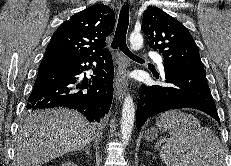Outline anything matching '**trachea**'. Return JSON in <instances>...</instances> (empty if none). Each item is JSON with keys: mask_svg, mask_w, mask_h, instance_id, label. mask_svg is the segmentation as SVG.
<instances>
[{"mask_svg": "<svg viewBox=\"0 0 231 166\" xmlns=\"http://www.w3.org/2000/svg\"><path fill=\"white\" fill-rule=\"evenodd\" d=\"M128 25H129V8H128V4H125L123 5L120 11L119 20H118L116 32L111 47L113 49L119 48L125 55H127L133 60L142 61L143 59L133 54L129 50L126 44V34H127Z\"/></svg>", "mask_w": 231, "mask_h": 166, "instance_id": "obj_1", "label": "trachea"}]
</instances>
